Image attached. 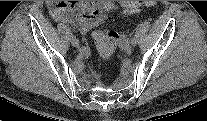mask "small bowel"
<instances>
[{
    "instance_id": "c3829d8e",
    "label": "small bowel",
    "mask_w": 207,
    "mask_h": 121,
    "mask_svg": "<svg viewBox=\"0 0 207 121\" xmlns=\"http://www.w3.org/2000/svg\"><path fill=\"white\" fill-rule=\"evenodd\" d=\"M154 2L146 1V6ZM100 4L91 1H48L50 15L57 21L75 24L80 32H88L99 25L103 16L99 10ZM88 50L82 51L86 54Z\"/></svg>"
}]
</instances>
